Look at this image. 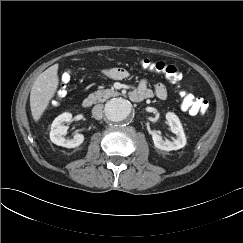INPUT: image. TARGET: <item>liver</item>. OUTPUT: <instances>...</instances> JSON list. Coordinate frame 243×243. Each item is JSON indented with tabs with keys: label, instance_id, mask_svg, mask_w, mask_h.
I'll return each instance as SVG.
<instances>
[{
	"label": "liver",
	"instance_id": "liver-1",
	"mask_svg": "<svg viewBox=\"0 0 243 243\" xmlns=\"http://www.w3.org/2000/svg\"><path fill=\"white\" fill-rule=\"evenodd\" d=\"M58 64L42 72L35 80L30 92V108L34 121H39L58 88Z\"/></svg>",
	"mask_w": 243,
	"mask_h": 243
}]
</instances>
